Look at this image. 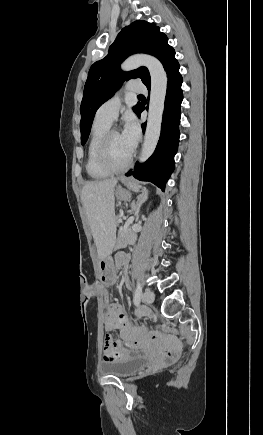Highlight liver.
I'll use <instances>...</instances> for the list:
<instances>
[{
  "label": "liver",
  "mask_w": 263,
  "mask_h": 435,
  "mask_svg": "<svg viewBox=\"0 0 263 435\" xmlns=\"http://www.w3.org/2000/svg\"><path fill=\"white\" fill-rule=\"evenodd\" d=\"M117 178L87 183L81 200L90 224L99 259L110 255L115 244V197Z\"/></svg>",
  "instance_id": "6515ba94"
}]
</instances>
